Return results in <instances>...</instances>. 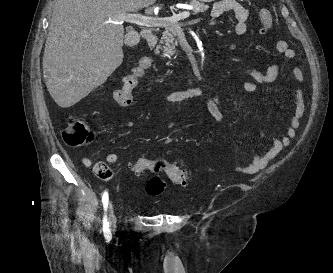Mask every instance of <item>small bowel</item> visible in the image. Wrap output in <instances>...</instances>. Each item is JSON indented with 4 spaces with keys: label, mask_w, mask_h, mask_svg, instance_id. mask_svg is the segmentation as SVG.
<instances>
[{
    "label": "small bowel",
    "mask_w": 333,
    "mask_h": 273,
    "mask_svg": "<svg viewBox=\"0 0 333 273\" xmlns=\"http://www.w3.org/2000/svg\"><path fill=\"white\" fill-rule=\"evenodd\" d=\"M226 13H233L235 17V22L232 27L233 32L236 35L246 34L248 31L247 20L250 17L249 9L241 4L239 0H219L214 3L211 10L213 22H216ZM276 49L288 59H293L297 55L296 51L290 48L288 42L285 40L277 41ZM141 58L149 60L147 57ZM150 68V62H134L132 70H129V75L124 79V84H120V88H117V91L114 92V98L120 107L127 108L133 104L132 91H138V78L143 77L144 73L147 72V69ZM241 71L250 79H237L234 84L247 93H261L262 86L274 81L280 73L278 65H272L266 70H260L249 65H243L241 67ZM292 78L295 84V104L286 133L281 137L274 135L272 147L263 155L255 154L253 164L245 168L248 172H257L266 168L278 155L281 154L285 147L291 144L292 140L296 136V131L300 126L305 109L303 92L299 86V84L303 81V72L298 66L292 67ZM198 98L205 101L206 109L215 122L220 123L223 121L224 117L219 108L218 92L208 94L199 87H187L167 92L162 97L163 101L167 103H180ZM125 125L130 126V123H126ZM260 134L263 135L261 130ZM117 160L118 155L114 152L107 154L105 158V161L108 164H114ZM82 162L87 167L92 165V160L88 157H84Z\"/></svg>",
    "instance_id": "small-bowel-1"
}]
</instances>
